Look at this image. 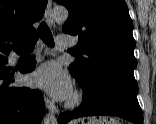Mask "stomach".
<instances>
[{"mask_svg": "<svg viewBox=\"0 0 156 124\" xmlns=\"http://www.w3.org/2000/svg\"><path fill=\"white\" fill-rule=\"evenodd\" d=\"M114 122H108L106 120H92V121H87V123H82V124H113ZM71 124H78L76 121L71 122Z\"/></svg>", "mask_w": 156, "mask_h": 124, "instance_id": "0dacf381", "label": "stomach"}]
</instances>
